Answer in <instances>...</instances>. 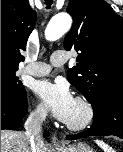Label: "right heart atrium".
<instances>
[{"label": "right heart atrium", "mask_w": 123, "mask_h": 152, "mask_svg": "<svg viewBox=\"0 0 123 152\" xmlns=\"http://www.w3.org/2000/svg\"><path fill=\"white\" fill-rule=\"evenodd\" d=\"M31 117L37 121H42L46 117V111L42 107H35L31 110Z\"/></svg>", "instance_id": "1"}]
</instances>
